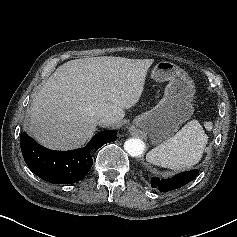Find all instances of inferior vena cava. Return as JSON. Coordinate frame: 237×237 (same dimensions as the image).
<instances>
[{
    "label": "inferior vena cava",
    "mask_w": 237,
    "mask_h": 237,
    "mask_svg": "<svg viewBox=\"0 0 237 237\" xmlns=\"http://www.w3.org/2000/svg\"><path fill=\"white\" fill-rule=\"evenodd\" d=\"M96 122L99 125H107L116 122V119L111 115H99L96 117Z\"/></svg>",
    "instance_id": "inferior-vena-cava-1"
}]
</instances>
